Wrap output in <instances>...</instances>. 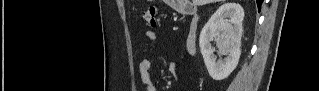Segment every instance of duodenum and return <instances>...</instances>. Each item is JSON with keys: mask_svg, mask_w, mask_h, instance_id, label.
Listing matches in <instances>:
<instances>
[{"mask_svg": "<svg viewBox=\"0 0 319 91\" xmlns=\"http://www.w3.org/2000/svg\"><path fill=\"white\" fill-rule=\"evenodd\" d=\"M184 13L191 16L187 37H186V50L190 55L196 52L197 38L199 31V17L196 8L189 4L184 8Z\"/></svg>", "mask_w": 319, "mask_h": 91, "instance_id": "410a0bca", "label": "duodenum"}]
</instances>
